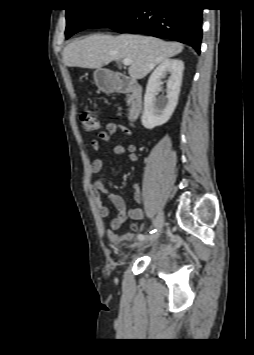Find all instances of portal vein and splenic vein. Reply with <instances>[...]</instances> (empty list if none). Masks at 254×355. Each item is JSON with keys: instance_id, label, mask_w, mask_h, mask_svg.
<instances>
[{"instance_id": "1", "label": "portal vein and splenic vein", "mask_w": 254, "mask_h": 355, "mask_svg": "<svg viewBox=\"0 0 254 355\" xmlns=\"http://www.w3.org/2000/svg\"><path fill=\"white\" fill-rule=\"evenodd\" d=\"M122 63H123L125 66H128V65H130V64L132 63V60H131V59H124V60L122 61Z\"/></svg>"}]
</instances>
